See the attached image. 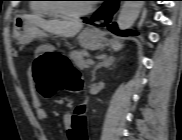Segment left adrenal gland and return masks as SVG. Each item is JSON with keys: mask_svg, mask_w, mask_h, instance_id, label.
Wrapping results in <instances>:
<instances>
[{"mask_svg": "<svg viewBox=\"0 0 182 140\" xmlns=\"http://www.w3.org/2000/svg\"><path fill=\"white\" fill-rule=\"evenodd\" d=\"M115 58L110 56V57H103L101 61L94 67L92 71V81H95L96 79V71L100 69L101 67H110L111 65H114Z\"/></svg>", "mask_w": 182, "mask_h": 140, "instance_id": "a2214340", "label": "left adrenal gland"}]
</instances>
